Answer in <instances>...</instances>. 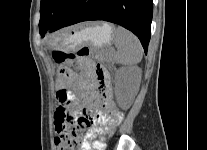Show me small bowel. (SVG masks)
Returning a JSON list of instances; mask_svg holds the SVG:
<instances>
[{
  "instance_id": "obj_1",
  "label": "small bowel",
  "mask_w": 207,
  "mask_h": 150,
  "mask_svg": "<svg viewBox=\"0 0 207 150\" xmlns=\"http://www.w3.org/2000/svg\"><path fill=\"white\" fill-rule=\"evenodd\" d=\"M81 76L69 73L73 77V89L80 96L85 107L95 108L96 130H103L112 134L116 126L122 121L123 115L117 112L110 95L109 75L107 71L97 66L88 58L80 59ZM66 86V82H62ZM58 97V96H57ZM73 99H76L75 95ZM77 101V99H76ZM78 104V102H76ZM71 112V118L77 115V111ZM95 130L88 132V139L92 138ZM105 143L103 140L90 142L87 140L83 145V150H104Z\"/></svg>"
}]
</instances>
